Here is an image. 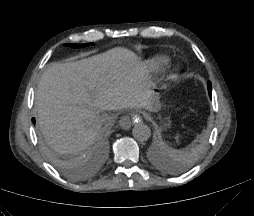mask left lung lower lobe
<instances>
[{
	"instance_id": "obj_1",
	"label": "left lung lower lobe",
	"mask_w": 254,
	"mask_h": 216,
	"mask_svg": "<svg viewBox=\"0 0 254 216\" xmlns=\"http://www.w3.org/2000/svg\"><path fill=\"white\" fill-rule=\"evenodd\" d=\"M208 91H209V95L211 97V82H208Z\"/></svg>"
}]
</instances>
